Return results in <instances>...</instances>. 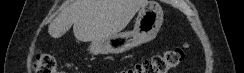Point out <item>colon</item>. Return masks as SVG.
Here are the masks:
<instances>
[{"label":"colon","instance_id":"colon-1","mask_svg":"<svg viewBox=\"0 0 244 73\" xmlns=\"http://www.w3.org/2000/svg\"><path fill=\"white\" fill-rule=\"evenodd\" d=\"M184 59L183 48H170L134 64L122 73H171ZM33 67L37 73H58L56 59L45 52L36 55Z\"/></svg>","mask_w":244,"mask_h":73}]
</instances>
